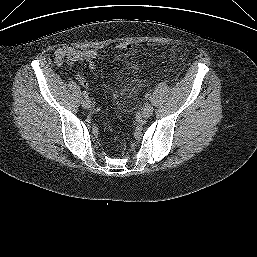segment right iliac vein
<instances>
[{"label": "right iliac vein", "mask_w": 257, "mask_h": 257, "mask_svg": "<svg viewBox=\"0 0 257 257\" xmlns=\"http://www.w3.org/2000/svg\"><path fill=\"white\" fill-rule=\"evenodd\" d=\"M82 106H83V108H85V109L91 108V106H92L91 101H90L89 99L84 100V101L82 102Z\"/></svg>", "instance_id": "right-iliac-vein-1"}]
</instances>
